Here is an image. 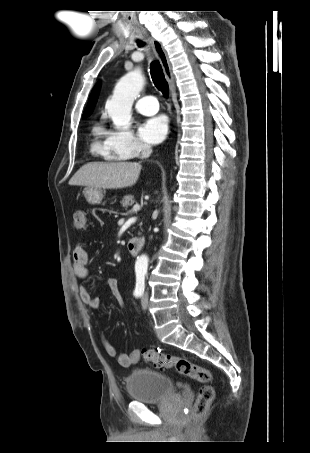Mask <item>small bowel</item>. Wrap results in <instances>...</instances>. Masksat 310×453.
I'll use <instances>...</instances> for the list:
<instances>
[{
  "label": "small bowel",
  "instance_id": "small-bowel-1",
  "mask_svg": "<svg viewBox=\"0 0 310 453\" xmlns=\"http://www.w3.org/2000/svg\"><path fill=\"white\" fill-rule=\"evenodd\" d=\"M73 273L79 281H84L89 277L88 269V251L83 244L75 246L73 251ZM104 285L111 291L113 297L120 306H123V296L118 287V279L116 277H109L106 279ZM79 294L81 299L92 309H99L101 300L99 297L92 295L89 290L80 285ZM102 344L107 355L115 358L118 364L122 367H130L141 359V352L134 350L131 353H119L116 347L102 336Z\"/></svg>",
  "mask_w": 310,
  "mask_h": 453
}]
</instances>
